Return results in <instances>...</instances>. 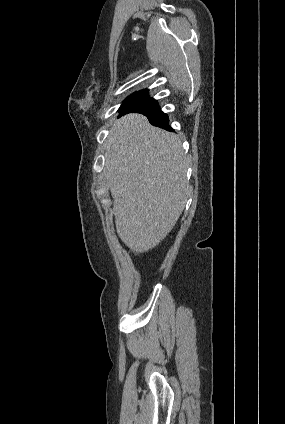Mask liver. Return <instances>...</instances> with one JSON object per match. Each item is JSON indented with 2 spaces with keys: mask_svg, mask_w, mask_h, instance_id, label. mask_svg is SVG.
I'll use <instances>...</instances> for the list:
<instances>
[{
  "mask_svg": "<svg viewBox=\"0 0 285 424\" xmlns=\"http://www.w3.org/2000/svg\"><path fill=\"white\" fill-rule=\"evenodd\" d=\"M104 146L117 234L133 251L146 252L168 235L185 207L182 142L145 116L129 114L113 124Z\"/></svg>",
  "mask_w": 285,
  "mask_h": 424,
  "instance_id": "6515ba94",
  "label": "liver"
}]
</instances>
